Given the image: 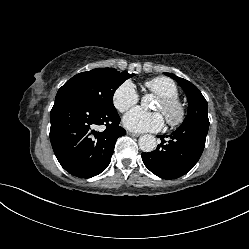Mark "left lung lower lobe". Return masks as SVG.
<instances>
[{
    "label": "left lung lower lobe",
    "instance_id": "left-lung-lower-lobe-1",
    "mask_svg": "<svg viewBox=\"0 0 249 249\" xmlns=\"http://www.w3.org/2000/svg\"><path fill=\"white\" fill-rule=\"evenodd\" d=\"M209 129V120L198 119L181 125L168 136L160 137L161 143L149 153H142L145 166L163 179H176L189 172L198 162Z\"/></svg>",
    "mask_w": 249,
    "mask_h": 249
}]
</instances>
